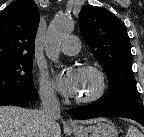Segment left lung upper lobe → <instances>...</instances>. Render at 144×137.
Wrapping results in <instances>:
<instances>
[{"label":"left lung upper lobe","mask_w":144,"mask_h":137,"mask_svg":"<svg viewBox=\"0 0 144 137\" xmlns=\"http://www.w3.org/2000/svg\"><path fill=\"white\" fill-rule=\"evenodd\" d=\"M81 33L109 80L105 103L138 102L125 25L107 9L86 5L79 14Z\"/></svg>","instance_id":"5c2ea615"}]
</instances>
